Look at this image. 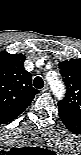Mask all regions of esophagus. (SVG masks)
<instances>
[{
    "instance_id": "esophagus-1",
    "label": "esophagus",
    "mask_w": 81,
    "mask_h": 155,
    "mask_svg": "<svg viewBox=\"0 0 81 155\" xmlns=\"http://www.w3.org/2000/svg\"><path fill=\"white\" fill-rule=\"evenodd\" d=\"M50 89L48 87V85H45L43 88H42V92H48Z\"/></svg>"
}]
</instances>
